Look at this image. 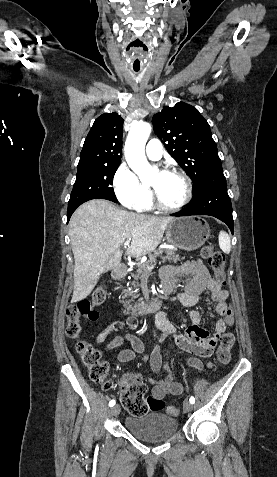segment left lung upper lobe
<instances>
[{
  "label": "left lung upper lobe",
  "instance_id": "1",
  "mask_svg": "<svg viewBox=\"0 0 277 477\" xmlns=\"http://www.w3.org/2000/svg\"><path fill=\"white\" fill-rule=\"evenodd\" d=\"M153 126L169 154L190 176L195 189L208 173L222 169L210 126L195 107L183 102L165 106L153 116Z\"/></svg>",
  "mask_w": 277,
  "mask_h": 477
}]
</instances>
